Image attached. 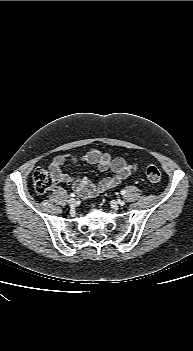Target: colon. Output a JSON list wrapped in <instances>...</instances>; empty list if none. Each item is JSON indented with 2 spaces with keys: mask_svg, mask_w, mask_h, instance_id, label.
Instances as JSON below:
<instances>
[{
  "mask_svg": "<svg viewBox=\"0 0 193 351\" xmlns=\"http://www.w3.org/2000/svg\"><path fill=\"white\" fill-rule=\"evenodd\" d=\"M161 170L156 165H150L146 169V176L150 182H158L161 179ZM32 182L39 194H45L56 187V180L46 170L38 168L33 172Z\"/></svg>",
  "mask_w": 193,
  "mask_h": 351,
  "instance_id": "1",
  "label": "colon"
}]
</instances>
